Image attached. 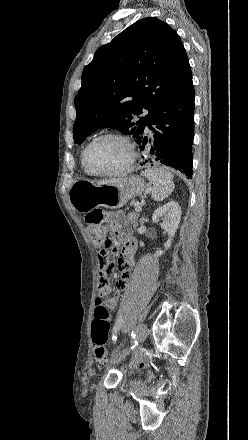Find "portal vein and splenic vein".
Here are the masks:
<instances>
[{
  "instance_id": "portal-vein-and-splenic-vein-1",
  "label": "portal vein and splenic vein",
  "mask_w": 248,
  "mask_h": 440,
  "mask_svg": "<svg viewBox=\"0 0 248 440\" xmlns=\"http://www.w3.org/2000/svg\"><path fill=\"white\" fill-rule=\"evenodd\" d=\"M141 210H142L141 205L139 203H137L136 206H135V211L136 212H140Z\"/></svg>"
}]
</instances>
